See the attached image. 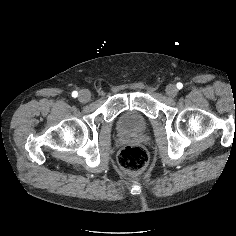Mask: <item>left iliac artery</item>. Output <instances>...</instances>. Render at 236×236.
Segmentation results:
<instances>
[{
    "instance_id": "obj_1",
    "label": "left iliac artery",
    "mask_w": 236,
    "mask_h": 236,
    "mask_svg": "<svg viewBox=\"0 0 236 236\" xmlns=\"http://www.w3.org/2000/svg\"><path fill=\"white\" fill-rule=\"evenodd\" d=\"M176 86H177V88H178V89H182V88H183V84H182V83H180V82H179V83H177V85H176Z\"/></svg>"
}]
</instances>
